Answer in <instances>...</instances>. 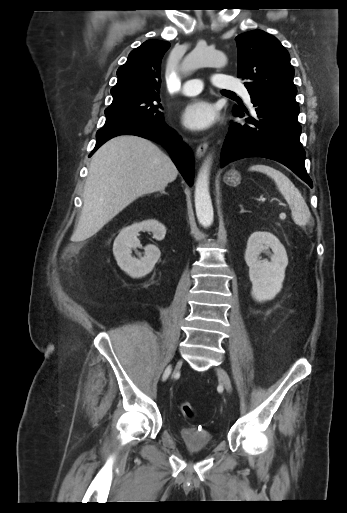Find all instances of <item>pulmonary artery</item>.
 <instances>
[{
    "mask_svg": "<svg viewBox=\"0 0 347 513\" xmlns=\"http://www.w3.org/2000/svg\"><path fill=\"white\" fill-rule=\"evenodd\" d=\"M214 86L238 92L247 103L251 102V96L247 88L237 80L224 74H216L213 77ZM204 84L200 79L187 80L182 86V94L186 96H194L203 90Z\"/></svg>",
    "mask_w": 347,
    "mask_h": 513,
    "instance_id": "1",
    "label": "pulmonary artery"
}]
</instances>
